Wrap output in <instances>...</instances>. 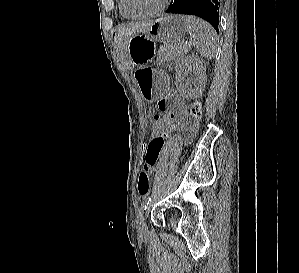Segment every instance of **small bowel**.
I'll list each match as a JSON object with an SVG mask.
<instances>
[{
  "mask_svg": "<svg viewBox=\"0 0 299 273\" xmlns=\"http://www.w3.org/2000/svg\"><path fill=\"white\" fill-rule=\"evenodd\" d=\"M158 107L161 112L169 117V125L164 134L156 138H150L147 146L144 148L145 164L143 171L148 174L153 171L158 161L168 130L182 127L186 120L185 101L175 93H171L168 98L160 100Z\"/></svg>",
  "mask_w": 299,
  "mask_h": 273,
  "instance_id": "small-bowel-1",
  "label": "small bowel"
}]
</instances>
